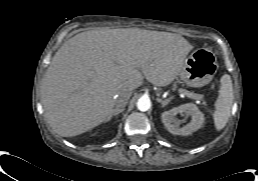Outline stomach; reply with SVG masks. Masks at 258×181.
Segmentation results:
<instances>
[{
	"label": "stomach",
	"instance_id": "1",
	"mask_svg": "<svg viewBox=\"0 0 258 181\" xmlns=\"http://www.w3.org/2000/svg\"><path fill=\"white\" fill-rule=\"evenodd\" d=\"M217 69L215 54L207 48H198L185 59L179 75L187 86L202 87L212 80Z\"/></svg>",
	"mask_w": 258,
	"mask_h": 181
}]
</instances>
